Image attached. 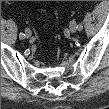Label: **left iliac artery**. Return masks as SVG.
<instances>
[{
    "mask_svg": "<svg viewBox=\"0 0 109 109\" xmlns=\"http://www.w3.org/2000/svg\"><path fill=\"white\" fill-rule=\"evenodd\" d=\"M83 29V25L82 24H78L77 25V30L81 31Z\"/></svg>",
    "mask_w": 109,
    "mask_h": 109,
    "instance_id": "obj_1",
    "label": "left iliac artery"
}]
</instances>
